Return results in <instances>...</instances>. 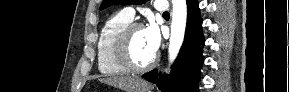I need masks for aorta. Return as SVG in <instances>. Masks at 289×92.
Listing matches in <instances>:
<instances>
[{
	"label": "aorta",
	"mask_w": 289,
	"mask_h": 92,
	"mask_svg": "<svg viewBox=\"0 0 289 92\" xmlns=\"http://www.w3.org/2000/svg\"><path fill=\"white\" fill-rule=\"evenodd\" d=\"M172 4L173 12L168 50L170 63L175 60L182 46L187 22L186 0H172Z\"/></svg>",
	"instance_id": "aorta-1"
}]
</instances>
